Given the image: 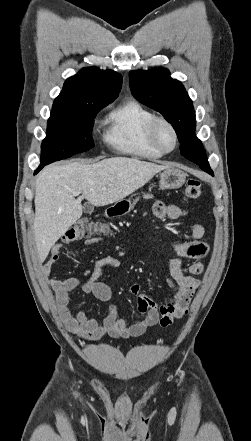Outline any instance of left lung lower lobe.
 Segmentation results:
<instances>
[{"mask_svg": "<svg viewBox=\"0 0 251 441\" xmlns=\"http://www.w3.org/2000/svg\"><path fill=\"white\" fill-rule=\"evenodd\" d=\"M209 172L212 174V171H211V169H210V166H209Z\"/></svg>", "mask_w": 251, "mask_h": 441, "instance_id": "obj_1", "label": "left lung lower lobe"}]
</instances>
